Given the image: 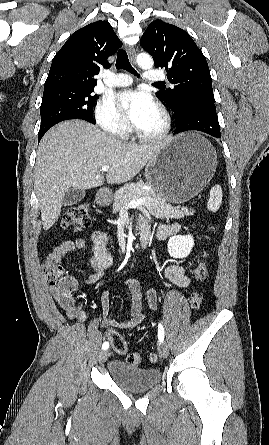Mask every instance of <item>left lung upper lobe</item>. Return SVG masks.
I'll return each instance as SVG.
<instances>
[{"instance_id": "1", "label": "left lung upper lobe", "mask_w": 269, "mask_h": 445, "mask_svg": "<svg viewBox=\"0 0 269 445\" xmlns=\"http://www.w3.org/2000/svg\"><path fill=\"white\" fill-rule=\"evenodd\" d=\"M140 44L153 56L155 67L167 71L173 87L160 90L157 95L170 106L177 121L184 116L188 103L215 102L207 61L186 31L155 20L147 27Z\"/></svg>"}]
</instances>
